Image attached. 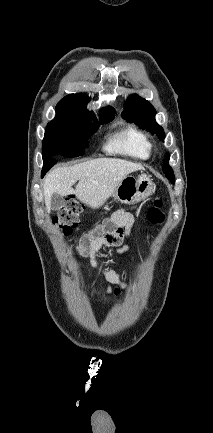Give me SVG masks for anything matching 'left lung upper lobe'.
Returning a JSON list of instances; mask_svg holds the SVG:
<instances>
[{
  "instance_id": "1",
  "label": "left lung upper lobe",
  "mask_w": 213,
  "mask_h": 433,
  "mask_svg": "<svg viewBox=\"0 0 213 433\" xmlns=\"http://www.w3.org/2000/svg\"><path fill=\"white\" fill-rule=\"evenodd\" d=\"M156 110L150 102L136 94L131 95L126 103L122 116L128 121L135 122L143 129L149 130L152 134H157L160 140L164 141L165 133L163 128L155 121ZM163 171L166 177L175 183V176L169 165V155L163 162Z\"/></svg>"
}]
</instances>
